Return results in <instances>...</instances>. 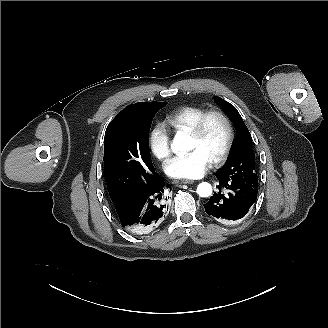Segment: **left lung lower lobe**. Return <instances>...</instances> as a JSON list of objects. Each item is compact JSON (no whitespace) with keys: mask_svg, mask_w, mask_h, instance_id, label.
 I'll use <instances>...</instances> for the list:
<instances>
[{"mask_svg":"<svg viewBox=\"0 0 328 328\" xmlns=\"http://www.w3.org/2000/svg\"><path fill=\"white\" fill-rule=\"evenodd\" d=\"M220 181V187L227 190L226 193L216 192L204 204L205 211L215 220L227 223L243 218L257 199L258 182L228 179L216 174Z\"/></svg>","mask_w":328,"mask_h":328,"instance_id":"1","label":"left lung lower lobe"}]
</instances>
